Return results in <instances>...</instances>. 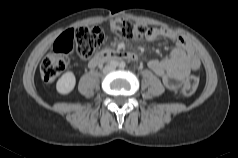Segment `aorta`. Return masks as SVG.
<instances>
[{
    "instance_id": "aorta-1",
    "label": "aorta",
    "mask_w": 238,
    "mask_h": 158,
    "mask_svg": "<svg viewBox=\"0 0 238 158\" xmlns=\"http://www.w3.org/2000/svg\"><path fill=\"white\" fill-rule=\"evenodd\" d=\"M119 66H120V67H124V66H125V63H124V62H120V63H119Z\"/></svg>"
}]
</instances>
